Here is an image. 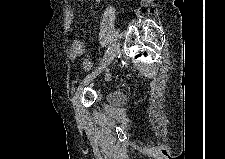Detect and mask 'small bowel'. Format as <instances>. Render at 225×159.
Instances as JSON below:
<instances>
[{"label":"small bowel","instance_id":"c3829d8e","mask_svg":"<svg viewBox=\"0 0 225 159\" xmlns=\"http://www.w3.org/2000/svg\"><path fill=\"white\" fill-rule=\"evenodd\" d=\"M85 49H86V45L84 41L80 39L74 40L71 50L69 52L70 58L74 60L77 57L83 55L85 52Z\"/></svg>","mask_w":225,"mask_h":159}]
</instances>
